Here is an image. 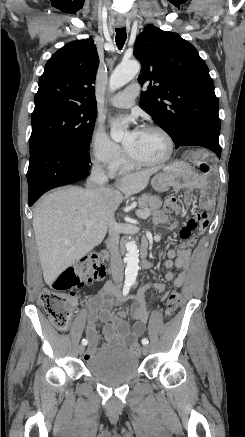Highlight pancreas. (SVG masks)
Returning a JSON list of instances; mask_svg holds the SVG:
<instances>
[{"mask_svg":"<svg viewBox=\"0 0 245 437\" xmlns=\"http://www.w3.org/2000/svg\"><path fill=\"white\" fill-rule=\"evenodd\" d=\"M162 202L159 196L151 195V194H142L139 198V207L140 210L137 213H143L145 208H148L149 211H154L155 209L161 206Z\"/></svg>","mask_w":245,"mask_h":437,"instance_id":"1","label":"pancreas"}]
</instances>
